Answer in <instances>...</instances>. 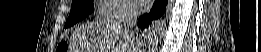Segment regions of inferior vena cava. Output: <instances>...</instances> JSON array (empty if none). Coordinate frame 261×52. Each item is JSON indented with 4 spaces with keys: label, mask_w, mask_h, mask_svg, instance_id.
Wrapping results in <instances>:
<instances>
[{
    "label": "inferior vena cava",
    "mask_w": 261,
    "mask_h": 52,
    "mask_svg": "<svg viewBox=\"0 0 261 52\" xmlns=\"http://www.w3.org/2000/svg\"><path fill=\"white\" fill-rule=\"evenodd\" d=\"M139 11L138 7L130 1H124L121 7V14L117 21V24L124 28L126 33H129L130 29H132L138 20ZM134 43L132 41V47Z\"/></svg>",
    "instance_id": "602c4592"
}]
</instances>
